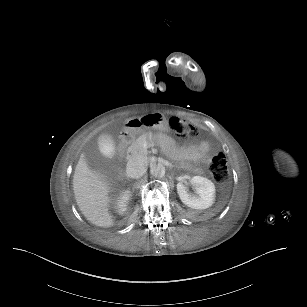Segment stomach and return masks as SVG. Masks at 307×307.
<instances>
[{
  "label": "stomach",
  "instance_id": "stomach-1",
  "mask_svg": "<svg viewBox=\"0 0 307 307\" xmlns=\"http://www.w3.org/2000/svg\"><path fill=\"white\" fill-rule=\"evenodd\" d=\"M128 127L134 133H141L148 129H155L164 132L169 131L168 121L162 114L159 113L132 118L128 121Z\"/></svg>",
  "mask_w": 307,
  "mask_h": 307
}]
</instances>
